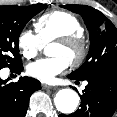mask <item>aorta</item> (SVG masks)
<instances>
[{"mask_svg":"<svg viewBox=\"0 0 117 117\" xmlns=\"http://www.w3.org/2000/svg\"><path fill=\"white\" fill-rule=\"evenodd\" d=\"M79 96L72 89H62L54 97V103L58 111L63 114H71L79 104Z\"/></svg>","mask_w":117,"mask_h":117,"instance_id":"762f6f07","label":"aorta"}]
</instances>
